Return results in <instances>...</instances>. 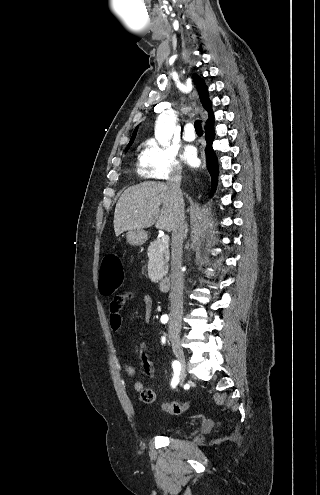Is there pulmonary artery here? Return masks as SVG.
<instances>
[{
    "label": "pulmonary artery",
    "instance_id": "pulmonary-artery-1",
    "mask_svg": "<svg viewBox=\"0 0 320 495\" xmlns=\"http://www.w3.org/2000/svg\"><path fill=\"white\" fill-rule=\"evenodd\" d=\"M183 138L186 141H192L195 139V132L192 124L188 123L185 125L183 131Z\"/></svg>",
    "mask_w": 320,
    "mask_h": 495
}]
</instances>
